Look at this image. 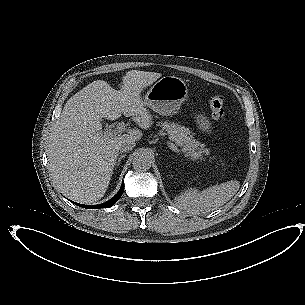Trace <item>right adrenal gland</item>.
Segmentation results:
<instances>
[{
    "instance_id": "1",
    "label": "right adrenal gland",
    "mask_w": 305,
    "mask_h": 305,
    "mask_svg": "<svg viewBox=\"0 0 305 305\" xmlns=\"http://www.w3.org/2000/svg\"><path fill=\"white\" fill-rule=\"evenodd\" d=\"M124 157H125L124 154H121L117 157V160L115 162V169L120 165V162H121L122 158H124Z\"/></svg>"
}]
</instances>
